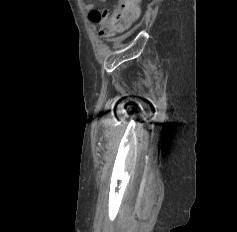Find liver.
<instances>
[{
    "instance_id": "6515ba94",
    "label": "liver",
    "mask_w": 237,
    "mask_h": 232,
    "mask_svg": "<svg viewBox=\"0 0 237 232\" xmlns=\"http://www.w3.org/2000/svg\"><path fill=\"white\" fill-rule=\"evenodd\" d=\"M137 2H140L141 0H136Z\"/></svg>"
}]
</instances>
